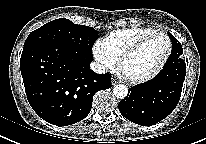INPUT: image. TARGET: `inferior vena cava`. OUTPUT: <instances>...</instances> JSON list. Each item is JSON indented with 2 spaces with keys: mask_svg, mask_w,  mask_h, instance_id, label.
Instances as JSON below:
<instances>
[{
  "mask_svg": "<svg viewBox=\"0 0 206 144\" xmlns=\"http://www.w3.org/2000/svg\"><path fill=\"white\" fill-rule=\"evenodd\" d=\"M90 66L91 69L97 74H104L106 71L105 66L101 65L98 62H92Z\"/></svg>",
  "mask_w": 206,
  "mask_h": 144,
  "instance_id": "602c4592",
  "label": "inferior vena cava"
}]
</instances>
